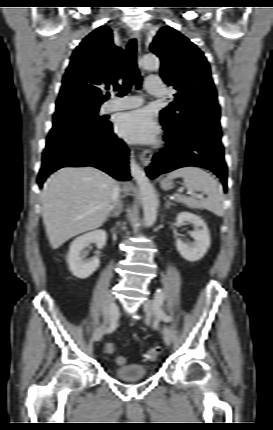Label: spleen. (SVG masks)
I'll list each match as a JSON object with an SVG mask.
<instances>
[{
	"label": "spleen",
	"instance_id": "3e777b00",
	"mask_svg": "<svg viewBox=\"0 0 273 430\" xmlns=\"http://www.w3.org/2000/svg\"><path fill=\"white\" fill-rule=\"evenodd\" d=\"M181 177L184 180V186L187 190L206 192L208 197L198 203L194 198L186 197L181 194H174L177 202L189 206L199 205L217 216L224 215L223 192L218 182L206 171L194 167L185 166L178 168L168 175V179Z\"/></svg>",
	"mask_w": 273,
	"mask_h": 430
}]
</instances>
